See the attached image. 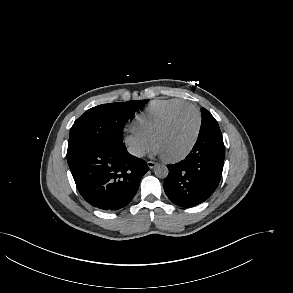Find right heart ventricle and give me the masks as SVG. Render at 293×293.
<instances>
[{
	"instance_id": "e07e8e85",
	"label": "right heart ventricle",
	"mask_w": 293,
	"mask_h": 293,
	"mask_svg": "<svg viewBox=\"0 0 293 293\" xmlns=\"http://www.w3.org/2000/svg\"><path fill=\"white\" fill-rule=\"evenodd\" d=\"M186 105H189V103L178 98L154 100L143 112L135 117L132 123L133 129L151 138L153 132L169 114Z\"/></svg>"
}]
</instances>
